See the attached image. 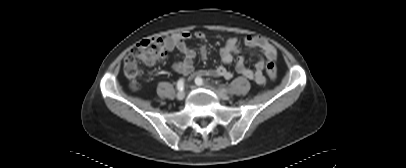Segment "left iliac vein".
I'll return each instance as SVG.
<instances>
[{
  "label": "left iliac vein",
  "mask_w": 406,
  "mask_h": 168,
  "mask_svg": "<svg viewBox=\"0 0 406 168\" xmlns=\"http://www.w3.org/2000/svg\"><path fill=\"white\" fill-rule=\"evenodd\" d=\"M206 88H209V86H205ZM216 92V94L220 97V98H222V99H228V96L226 95V94H223V93H221V92H218V91H215Z\"/></svg>",
  "instance_id": "left-iliac-vein-1"
}]
</instances>
